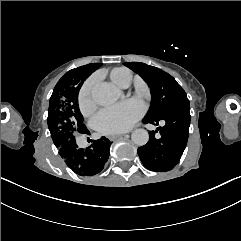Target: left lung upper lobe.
I'll return each mask as SVG.
<instances>
[{
	"instance_id": "left-lung-upper-lobe-1",
	"label": "left lung upper lobe",
	"mask_w": 241,
	"mask_h": 241,
	"mask_svg": "<svg viewBox=\"0 0 241 241\" xmlns=\"http://www.w3.org/2000/svg\"><path fill=\"white\" fill-rule=\"evenodd\" d=\"M124 65L139 74L150 87L151 106L144 118L162 116L178 104L189 102L185 91L168 73L139 62Z\"/></svg>"
}]
</instances>
